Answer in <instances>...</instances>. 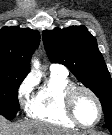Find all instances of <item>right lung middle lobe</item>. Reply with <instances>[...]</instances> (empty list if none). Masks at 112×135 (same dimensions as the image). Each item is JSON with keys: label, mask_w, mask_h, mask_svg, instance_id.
<instances>
[{"label": "right lung middle lobe", "mask_w": 112, "mask_h": 135, "mask_svg": "<svg viewBox=\"0 0 112 135\" xmlns=\"http://www.w3.org/2000/svg\"><path fill=\"white\" fill-rule=\"evenodd\" d=\"M25 74L0 75V114L12 120L19 111L18 88Z\"/></svg>", "instance_id": "dd1d6c3e"}]
</instances>
